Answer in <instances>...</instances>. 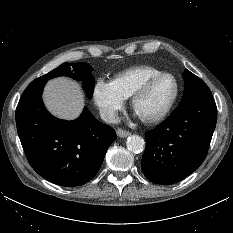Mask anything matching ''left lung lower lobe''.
<instances>
[{
	"mask_svg": "<svg viewBox=\"0 0 233 233\" xmlns=\"http://www.w3.org/2000/svg\"><path fill=\"white\" fill-rule=\"evenodd\" d=\"M216 120L212 96L176 108L163 123L145 133L141 163L145 176L156 184L170 185L190 175L207 155Z\"/></svg>",
	"mask_w": 233,
	"mask_h": 233,
	"instance_id": "left-lung-lower-lobe-1",
	"label": "left lung lower lobe"
}]
</instances>
